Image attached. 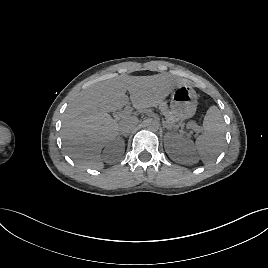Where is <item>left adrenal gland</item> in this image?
<instances>
[{"label": "left adrenal gland", "instance_id": "a2214340", "mask_svg": "<svg viewBox=\"0 0 268 268\" xmlns=\"http://www.w3.org/2000/svg\"><path fill=\"white\" fill-rule=\"evenodd\" d=\"M163 127L166 128L167 130H171V128L168 125H166L165 123H163Z\"/></svg>", "mask_w": 268, "mask_h": 268}]
</instances>
